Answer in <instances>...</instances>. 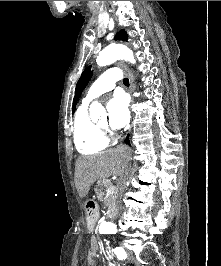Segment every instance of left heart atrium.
<instances>
[{
    "label": "left heart atrium",
    "mask_w": 221,
    "mask_h": 266,
    "mask_svg": "<svg viewBox=\"0 0 221 266\" xmlns=\"http://www.w3.org/2000/svg\"><path fill=\"white\" fill-rule=\"evenodd\" d=\"M107 109L109 113V123L114 129H120L129 122L130 114L128 101L125 95L115 94L108 102Z\"/></svg>",
    "instance_id": "1"
}]
</instances>
